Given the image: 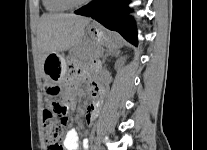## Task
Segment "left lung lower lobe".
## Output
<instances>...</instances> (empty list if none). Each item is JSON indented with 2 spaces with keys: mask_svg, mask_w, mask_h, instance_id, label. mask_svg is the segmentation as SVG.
<instances>
[{
  "mask_svg": "<svg viewBox=\"0 0 207 150\" xmlns=\"http://www.w3.org/2000/svg\"><path fill=\"white\" fill-rule=\"evenodd\" d=\"M129 0H94L75 11L76 14L89 16L110 30L119 32L127 41L138 45L135 23L128 16Z\"/></svg>",
  "mask_w": 207,
  "mask_h": 150,
  "instance_id": "0a47b994",
  "label": "left lung lower lobe"
}]
</instances>
